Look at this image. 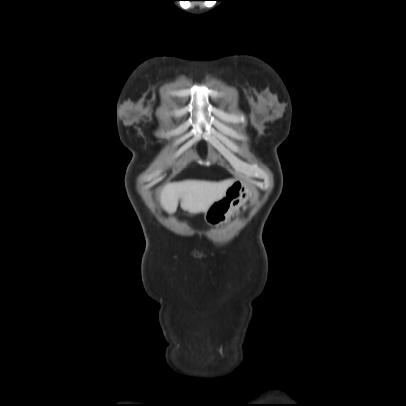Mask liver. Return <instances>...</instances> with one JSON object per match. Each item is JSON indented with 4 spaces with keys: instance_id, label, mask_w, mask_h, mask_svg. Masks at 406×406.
I'll return each mask as SVG.
<instances>
[{
    "instance_id": "liver-1",
    "label": "liver",
    "mask_w": 406,
    "mask_h": 406,
    "mask_svg": "<svg viewBox=\"0 0 406 406\" xmlns=\"http://www.w3.org/2000/svg\"><path fill=\"white\" fill-rule=\"evenodd\" d=\"M232 181L231 179L222 182L187 180L170 183L161 190V204L169 213H174L180 200L183 210L190 214H199L205 212L215 201L223 198Z\"/></svg>"
}]
</instances>
